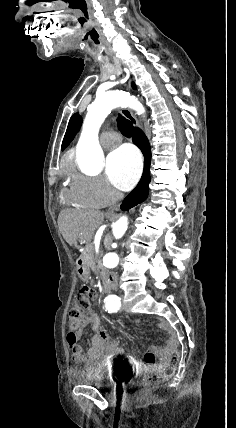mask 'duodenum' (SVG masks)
Here are the masks:
<instances>
[{
  "mask_svg": "<svg viewBox=\"0 0 236 428\" xmlns=\"http://www.w3.org/2000/svg\"><path fill=\"white\" fill-rule=\"evenodd\" d=\"M77 267L79 269H82L84 266V261L81 257H79L76 261ZM117 284V277L116 275L110 273L106 276L105 278V282H104V286H103V290L106 296H110L113 294V291L116 287Z\"/></svg>",
  "mask_w": 236,
  "mask_h": 428,
  "instance_id": "1",
  "label": "duodenum"
}]
</instances>
